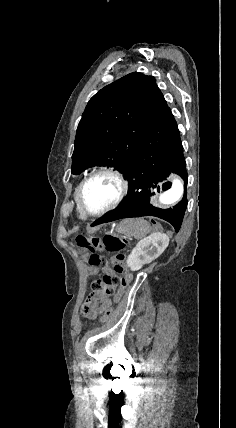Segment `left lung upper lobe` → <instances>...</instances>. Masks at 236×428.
Returning <instances> with one entry per match:
<instances>
[{"instance_id":"1","label":"left lung upper lobe","mask_w":236,"mask_h":428,"mask_svg":"<svg viewBox=\"0 0 236 428\" xmlns=\"http://www.w3.org/2000/svg\"><path fill=\"white\" fill-rule=\"evenodd\" d=\"M167 109L152 76L133 72L105 86L79 122L71 173L95 165L124 173L146 131Z\"/></svg>"}]
</instances>
